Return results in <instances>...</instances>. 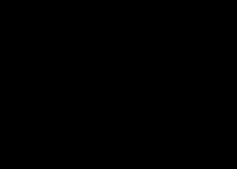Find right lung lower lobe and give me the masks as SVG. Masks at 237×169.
Wrapping results in <instances>:
<instances>
[{"mask_svg": "<svg viewBox=\"0 0 237 169\" xmlns=\"http://www.w3.org/2000/svg\"><path fill=\"white\" fill-rule=\"evenodd\" d=\"M115 106V97L94 91L79 108L60 120L54 128L73 146L91 145L103 134Z\"/></svg>", "mask_w": 237, "mask_h": 169, "instance_id": "right-lung-lower-lobe-1", "label": "right lung lower lobe"}]
</instances>
